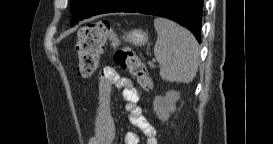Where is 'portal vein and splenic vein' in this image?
Returning a JSON list of instances; mask_svg holds the SVG:
<instances>
[{"instance_id": "obj_1", "label": "portal vein and splenic vein", "mask_w": 273, "mask_h": 144, "mask_svg": "<svg viewBox=\"0 0 273 144\" xmlns=\"http://www.w3.org/2000/svg\"><path fill=\"white\" fill-rule=\"evenodd\" d=\"M150 66H151V67H153V66H154V64H153V63H151V64H150Z\"/></svg>"}]
</instances>
